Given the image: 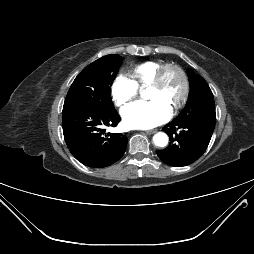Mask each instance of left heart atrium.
<instances>
[{"mask_svg": "<svg viewBox=\"0 0 254 254\" xmlns=\"http://www.w3.org/2000/svg\"><path fill=\"white\" fill-rule=\"evenodd\" d=\"M170 114L171 110L156 100L135 101L121 110L124 123L134 129L156 127L167 121Z\"/></svg>", "mask_w": 254, "mask_h": 254, "instance_id": "obj_1", "label": "left heart atrium"}]
</instances>
